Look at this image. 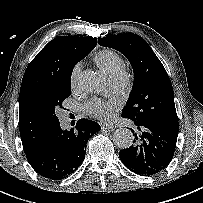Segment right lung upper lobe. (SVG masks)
Returning <instances> with one entry per match:
<instances>
[{
  "instance_id": "cb5924a9",
  "label": "right lung upper lobe",
  "mask_w": 203,
  "mask_h": 203,
  "mask_svg": "<svg viewBox=\"0 0 203 203\" xmlns=\"http://www.w3.org/2000/svg\"><path fill=\"white\" fill-rule=\"evenodd\" d=\"M96 44L97 38L92 37H57L28 65L19 94V127L24 149L46 139L56 126L45 117L39 93L56 80L71 78L74 65Z\"/></svg>"
}]
</instances>
